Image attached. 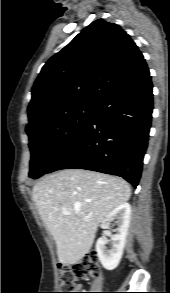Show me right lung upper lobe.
I'll use <instances>...</instances> for the list:
<instances>
[{
	"label": "right lung upper lobe",
	"instance_id": "obj_1",
	"mask_svg": "<svg viewBox=\"0 0 170 293\" xmlns=\"http://www.w3.org/2000/svg\"><path fill=\"white\" fill-rule=\"evenodd\" d=\"M146 71L145 59L130 36L120 26L98 19L43 66L32 89L26 129L76 106L98 105Z\"/></svg>",
	"mask_w": 170,
	"mask_h": 293
}]
</instances>
